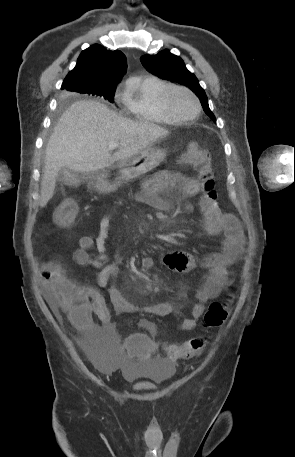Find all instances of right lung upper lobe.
<instances>
[{
  "mask_svg": "<svg viewBox=\"0 0 295 457\" xmlns=\"http://www.w3.org/2000/svg\"><path fill=\"white\" fill-rule=\"evenodd\" d=\"M126 68V57L121 51L94 44L81 52L77 65L68 73L61 88L73 91L74 84L93 89L117 86Z\"/></svg>",
  "mask_w": 295,
  "mask_h": 457,
  "instance_id": "cb5924a9",
  "label": "right lung upper lobe"
}]
</instances>
